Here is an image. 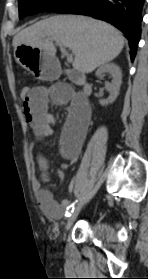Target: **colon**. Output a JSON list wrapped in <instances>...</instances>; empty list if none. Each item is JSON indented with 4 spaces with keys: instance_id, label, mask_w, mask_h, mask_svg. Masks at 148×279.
<instances>
[{
    "instance_id": "colon-1",
    "label": "colon",
    "mask_w": 148,
    "mask_h": 279,
    "mask_svg": "<svg viewBox=\"0 0 148 279\" xmlns=\"http://www.w3.org/2000/svg\"><path fill=\"white\" fill-rule=\"evenodd\" d=\"M20 95L23 101H28L31 96V89L29 87H23L20 91Z\"/></svg>"
}]
</instances>
